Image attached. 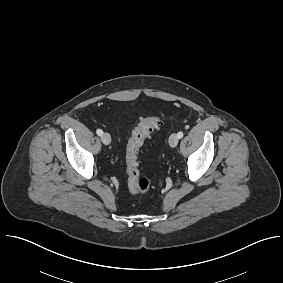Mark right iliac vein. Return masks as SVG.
Instances as JSON below:
<instances>
[{"mask_svg": "<svg viewBox=\"0 0 283 283\" xmlns=\"http://www.w3.org/2000/svg\"><path fill=\"white\" fill-rule=\"evenodd\" d=\"M101 140H102L103 144L109 145L111 143V136H110V134L109 133H104L101 136Z\"/></svg>", "mask_w": 283, "mask_h": 283, "instance_id": "63e3f726", "label": "right iliac vein"}]
</instances>
